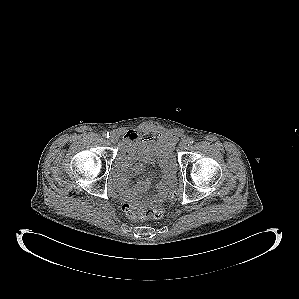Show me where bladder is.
<instances>
[{"label": "bladder", "instance_id": "bladder-1", "mask_svg": "<svg viewBox=\"0 0 299 299\" xmlns=\"http://www.w3.org/2000/svg\"><path fill=\"white\" fill-rule=\"evenodd\" d=\"M164 136V135H163ZM126 148H136L137 145H135L132 142H128L125 146ZM153 150L156 154V157L160 155H167L173 159V146L172 141L168 139L167 136H164V138H159L154 144H153ZM113 172L115 175L119 172V158L117 157L114 161L113 165Z\"/></svg>", "mask_w": 299, "mask_h": 299}]
</instances>
